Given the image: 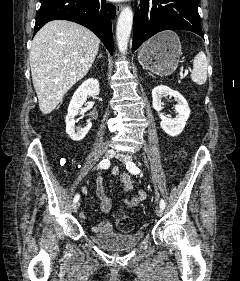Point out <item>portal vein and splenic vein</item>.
<instances>
[{"label":"portal vein and splenic vein","mask_w":240,"mask_h":281,"mask_svg":"<svg viewBox=\"0 0 240 281\" xmlns=\"http://www.w3.org/2000/svg\"><path fill=\"white\" fill-rule=\"evenodd\" d=\"M188 74V70H185V71H180V77L181 78H185Z\"/></svg>","instance_id":"portal-vein-and-splenic-vein-1"}]
</instances>
